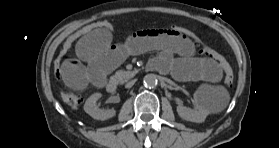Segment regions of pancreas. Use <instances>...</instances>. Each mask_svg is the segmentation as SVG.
Returning <instances> with one entry per match:
<instances>
[{"label": "pancreas", "mask_w": 279, "mask_h": 148, "mask_svg": "<svg viewBox=\"0 0 279 148\" xmlns=\"http://www.w3.org/2000/svg\"><path fill=\"white\" fill-rule=\"evenodd\" d=\"M136 74L135 71H125V70H118L115 73V78L120 82L124 83L128 81L130 78H132Z\"/></svg>", "instance_id": "1"}]
</instances>
